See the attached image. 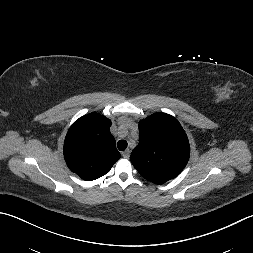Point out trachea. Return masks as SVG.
<instances>
[{
    "mask_svg": "<svg viewBox=\"0 0 253 253\" xmlns=\"http://www.w3.org/2000/svg\"><path fill=\"white\" fill-rule=\"evenodd\" d=\"M117 147L120 151H124L127 148V141L126 140H119L117 143Z\"/></svg>",
    "mask_w": 253,
    "mask_h": 253,
    "instance_id": "trachea-1",
    "label": "trachea"
}]
</instances>
